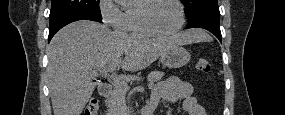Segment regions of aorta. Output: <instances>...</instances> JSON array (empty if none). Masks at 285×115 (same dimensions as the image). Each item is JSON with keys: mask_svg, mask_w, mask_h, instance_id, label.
<instances>
[{"mask_svg": "<svg viewBox=\"0 0 285 115\" xmlns=\"http://www.w3.org/2000/svg\"><path fill=\"white\" fill-rule=\"evenodd\" d=\"M119 3H123V2H125L124 0H117Z\"/></svg>", "mask_w": 285, "mask_h": 115, "instance_id": "762f6f07", "label": "aorta"}]
</instances>
